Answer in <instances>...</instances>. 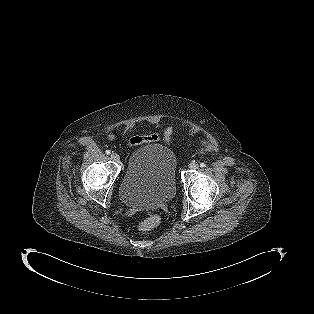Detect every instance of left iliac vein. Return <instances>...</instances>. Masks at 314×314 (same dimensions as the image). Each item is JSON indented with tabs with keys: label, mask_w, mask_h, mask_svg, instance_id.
Segmentation results:
<instances>
[{
	"label": "left iliac vein",
	"mask_w": 314,
	"mask_h": 314,
	"mask_svg": "<svg viewBox=\"0 0 314 314\" xmlns=\"http://www.w3.org/2000/svg\"><path fill=\"white\" fill-rule=\"evenodd\" d=\"M198 168H199V165L197 162H191L189 164V169H191V170H197Z\"/></svg>",
	"instance_id": "4c4485c4"
}]
</instances>
